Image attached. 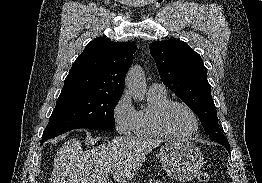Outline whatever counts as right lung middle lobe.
<instances>
[{"label": "right lung middle lobe", "mask_w": 262, "mask_h": 183, "mask_svg": "<svg viewBox=\"0 0 262 183\" xmlns=\"http://www.w3.org/2000/svg\"><path fill=\"white\" fill-rule=\"evenodd\" d=\"M121 95L90 91L61 93L42 139L78 128L106 130L115 125L114 107Z\"/></svg>", "instance_id": "dd1d6c3e"}]
</instances>
